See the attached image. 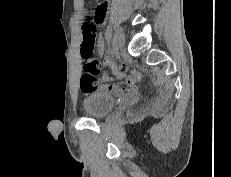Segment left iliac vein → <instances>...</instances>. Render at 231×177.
I'll use <instances>...</instances> for the list:
<instances>
[{
    "instance_id": "obj_1",
    "label": "left iliac vein",
    "mask_w": 231,
    "mask_h": 177,
    "mask_svg": "<svg viewBox=\"0 0 231 177\" xmlns=\"http://www.w3.org/2000/svg\"><path fill=\"white\" fill-rule=\"evenodd\" d=\"M125 45V36L123 34V32L118 29L115 34H114V38H113V46L115 48V50H120L124 47Z\"/></svg>"
}]
</instances>
